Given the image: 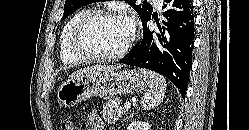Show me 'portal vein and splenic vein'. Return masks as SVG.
<instances>
[{
  "label": "portal vein and splenic vein",
  "mask_w": 249,
  "mask_h": 130,
  "mask_svg": "<svg viewBox=\"0 0 249 130\" xmlns=\"http://www.w3.org/2000/svg\"><path fill=\"white\" fill-rule=\"evenodd\" d=\"M124 108H125V109L131 108V104H130V103H125V104H124Z\"/></svg>",
  "instance_id": "obj_1"
}]
</instances>
